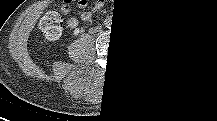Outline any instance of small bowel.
I'll use <instances>...</instances> for the list:
<instances>
[{
  "label": "small bowel",
  "mask_w": 217,
  "mask_h": 121,
  "mask_svg": "<svg viewBox=\"0 0 217 121\" xmlns=\"http://www.w3.org/2000/svg\"><path fill=\"white\" fill-rule=\"evenodd\" d=\"M154 5L157 10L164 12V14L162 15L160 19V22H168L172 19L173 11H172L171 5L168 0L155 1ZM70 24L73 26L77 25L78 21L76 19H71Z\"/></svg>",
  "instance_id": "c3829d8e"
}]
</instances>
